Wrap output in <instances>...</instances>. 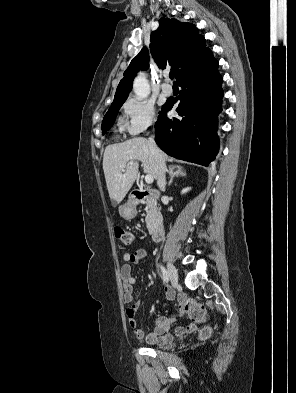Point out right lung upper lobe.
I'll return each instance as SVG.
<instances>
[{"mask_svg": "<svg viewBox=\"0 0 296 393\" xmlns=\"http://www.w3.org/2000/svg\"><path fill=\"white\" fill-rule=\"evenodd\" d=\"M150 41L151 54L158 67L171 66L176 79L207 50L205 39L199 35L195 25L176 19H160L159 28L152 32ZM148 67L149 52L143 48L124 72L114 101L127 99L136 73Z\"/></svg>", "mask_w": 296, "mask_h": 393, "instance_id": "right-lung-upper-lobe-1", "label": "right lung upper lobe"}]
</instances>
